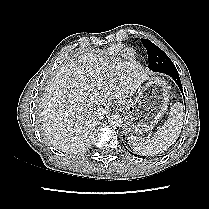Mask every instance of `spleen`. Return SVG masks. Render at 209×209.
<instances>
[{
    "label": "spleen",
    "mask_w": 209,
    "mask_h": 209,
    "mask_svg": "<svg viewBox=\"0 0 209 209\" xmlns=\"http://www.w3.org/2000/svg\"><path fill=\"white\" fill-rule=\"evenodd\" d=\"M183 126V105L179 102L171 107L167 121L157 130L151 139L134 135L127 137L133 151L143 156H153L166 151L179 137Z\"/></svg>",
    "instance_id": "obj_1"
}]
</instances>
